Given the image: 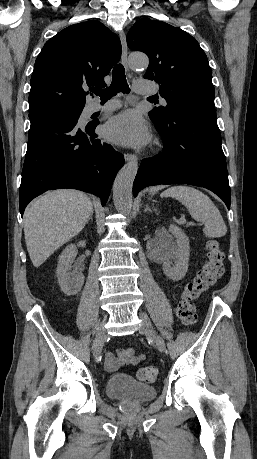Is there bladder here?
Instances as JSON below:
<instances>
[{
	"instance_id": "bladder-1",
	"label": "bladder",
	"mask_w": 257,
	"mask_h": 459,
	"mask_svg": "<svg viewBox=\"0 0 257 459\" xmlns=\"http://www.w3.org/2000/svg\"><path fill=\"white\" fill-rule=\"evenodd\" d=\"M106 393L120 401L140 404L153 399L157 390L152 385L139 382L126 374H115L106 382Z\"/></svg>"
}]
</instances>
